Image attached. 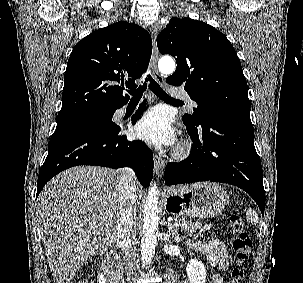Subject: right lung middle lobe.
<instances>
[{
  "mask_svg": "<svg viewBox=\"0 0 303 283\" xmlns=\"http://www.w3.org/2000/svg\"><path fill=\"white\" fill-rule=\"evenodd\" d=\"M115 111H87L65 116H58L56 130H64L70 128H87L97 131H106L117 129L112 122Z\"/></svg>",
  "mask_w": 303,
  "mask_h": 283,
  "instance_id": "dd1d6c3e",
  "label": "right lung middle lobe"
}]
</instances>
